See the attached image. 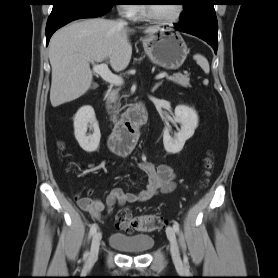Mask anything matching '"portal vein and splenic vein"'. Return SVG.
<instances>
[{
  "mask_svg": "<svg viewBox=\"0 0 278 278\" xmlns=\"http://www.w3.org/2000/svg\"><path fill=\"white\" fill-rule=\"evenodd\" d=\"M91 63L93 64V70L99 74L105 81L120 86L123 84V79L118 76L113 74L109 68L108 65L106 63H102V64H95L93 61H91ZM168 74L167 73H161L159 75L156 76V79H162L164 77H167Z\"/></svg>",
  "mask_w": 278,
  "mask_h": 278,
  "instance_id": "18ae733b",
  "label": "portal vein and splenic vein"
}]
</instances>
